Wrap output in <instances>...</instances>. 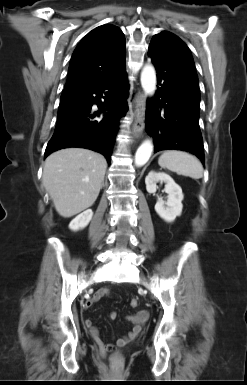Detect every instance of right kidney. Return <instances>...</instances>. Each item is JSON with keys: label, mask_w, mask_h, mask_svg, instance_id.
Instances as JSON below:
<instances>
[{"label": "right kidney", "mask_w": 247, "mask_h": 385, "mask_svg": "<svg viewBox=\"0 0 247 385\" xmlns=\"http://www.w3.org/2000/svg\"><path fill=\"white\" fill-rule=\"evenodd\" d=\"M92 216H93V211L91 209H88L82 212L70 222L69 228L72 231H78L80 229L85 228L91 221Z\"/></svg>", "instance_id": "obj_1"}]
</instances>
